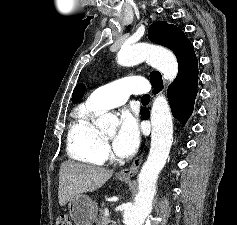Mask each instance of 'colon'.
<instances>
[{
	"label": "colon",
	"mask_w": 237,
	"mask_h": 225,
	"mask_svg": "<svg viewBox=\"0 0 237 225\" xmlns=\"http://www.w3.org/2000/svg\"><path fill=\"white\" fill-rule=\"evenodd\" d=\"M56 225H73L68 215H59L56 220Z\"/></svg>",
	"instance_id": "5ec220e1"
}]
</instances>
